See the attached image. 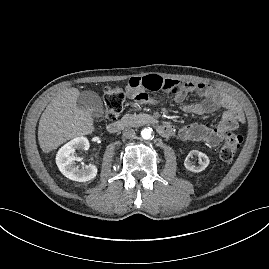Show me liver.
I'll return each instance as SVG.
<instances>
[{
	"instance_id": "liver-1",
	"label": "liver",
	"mask_w": 269,
	"mask_h": 269,
	"mask_svg": "<svg viewBox=\"0 0 269 269\" xmlns=\"http://www.w3.org/2000/svg\"><path fill=\"white\" fill-rule=\"evenodd\" d=\"M79 94V90L74 87L64 90L52 99L41 115L38 141L44 153H49L72 138L94 131L91 114L77 107Z\"/></svg>"
}]
</instances>
